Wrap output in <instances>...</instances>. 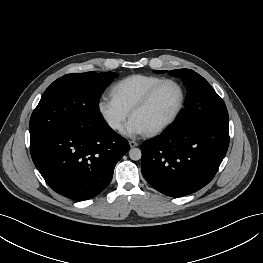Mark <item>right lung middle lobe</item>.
Listing matches in <instances>:
<instances>
[{
	"label": "right lung middle lobe",
	"mask_w": 263,
	"mask_h": 263,
	"mask_svg": "<svg viewBox=\"0 0 263 263\" xmlns=\"http://www.w3.org/2000/svg\"><path fill=\"white\" fill-rule=\"evenodd\" d=\"M116 76L113 72L91 71L67 74L54 81L32 113L30 142L62 128L103 122L99 98Z\"/></svg>",
	"instance_id": "right-lung-middle-lobe-1"
}]
</instances>
